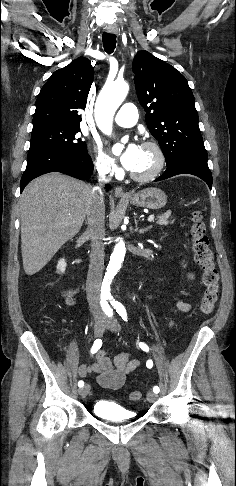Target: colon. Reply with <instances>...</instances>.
Returning a JSON list of instances; mask_svg holds the SVG:
<instances>
[{"mask_svg":"<svg viewBox=\"0 0 236 486\" xmlns=\"http://www.w3.org/2000/svg\"><path fill=\"white\" fill-rule=\"evenodd\" d=\"M190 235L194 259L202 269V280L205 286L200 310L202 314L210 315L214 311L219 297V274L200 211H194L191 214ZM141 397L142 393L140 391L130 393V399L133 401H137Z\"/></svg>","mask_w":236,"mask_h":486,"instance_id":"colon-1","label":"colon"}]
</instances>
